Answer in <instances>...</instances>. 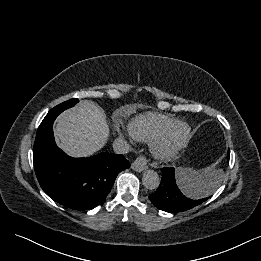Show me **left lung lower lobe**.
I'll list each match as a JSON object with an SVG mask.
<instances>
[{"label":"left lung lower lobe","mask_w":261,"mask_h":261,"mask_svg":"<svg viewBox=\"0 0 261 261\" xmlns=\"http://www.w3.org/2000/svg\"><path fill=\"white\" fill-rule=\"evenodd\" d=\"M229 158V155H228ZM162 180L159 188L149 196L151 202L160 210L177 213L189 210L205 202L209 197L193 198L199 186L192 181L181 182L174 168H162Z\"/></svg>","instance_id":"obj_1"}]
</instances>
